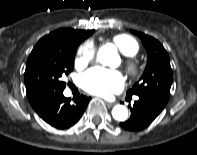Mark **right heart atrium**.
Returning <instances> with one entry per match:
<instances>
[{
    "label": "right heart atrium",
    "instance_id": "d8ad5b80",
    "mask_svg": "<svg viewBox=\"0 0 197 155\" xmlns=\"http://www.w3.org/2000/svg\"><path fill=\"white\" fill-rule=\"evenodd\" d=\"M95 56V46L91 42L82 44L77 52L75 63L77 66H86Z\"/></svg>",
    "mask_w": 197,
    "mask_h": 155
}]
</instances>
